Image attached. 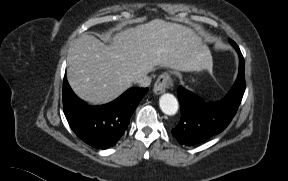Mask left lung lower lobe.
Instances as JSON below:
<instances>
[{
  "mask_svg": "<svg viewBox=\"0 0 288 181\" xmlns=\"http://www.w3.org/2000/svg\"><path fill=\"white\" fill-rule=\"evenodd\" d=\"M231 44L239 54L240 67H243L244 59L238 46L233 41ZM244 91V69H239V75L232 90L217 102H205L180 86L178 98L181 106V120L172 129L173 136L180 144L192 146L222 132L237 112Z\"/></svg>",
  "mask_w": 288,
  "mask_h": 181,
  "instance_id": "1",
  "label": "left lung lower lobe"
}]
</instances>
